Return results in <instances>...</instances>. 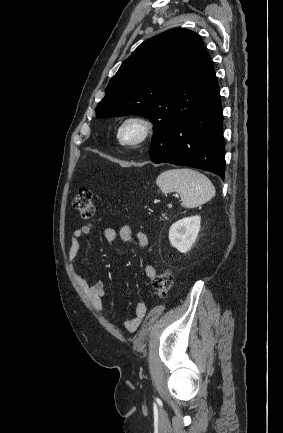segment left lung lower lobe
<instances>
[{
	"label": "left lung lower lobe",
	"instance_id": "1",
	"mask_svg": "<svg viewBox=\"0 0 283 433\" xmlns=\"http://www.w3.org/2000/svg\"><path fill=\"white\" fill-rule=\"evenodd\" d=\"M220 89L211 59L199 78L198 105L171 125L154 129L150 159L200 168L225 176Z\"/></svg>",
	"mask_w": 283,
	"mask_h": 433
}]
</instances>
